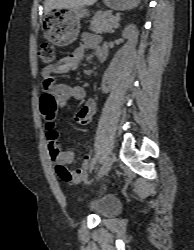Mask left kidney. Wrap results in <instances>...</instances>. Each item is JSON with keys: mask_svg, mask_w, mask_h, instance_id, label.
Segmentation results:
<instances>
[{"mask_svg": "<svg viewBox=\"0 0 194 250\" xmlns=\"http://www.w3.org/2000/svg\"><path fill=\"white\" fill-rule=\"evenodd\" d=\"M138 35L139 32L136 26L133 24L126 26L124 31L122 32V37L128 40L126 45V49L128 52H132L135 50L138 41Z\"/></svg>", "mask_w": 194, "mask_h": 250, "instance_id": "1", "label": "left kidney"}]
</instances>
